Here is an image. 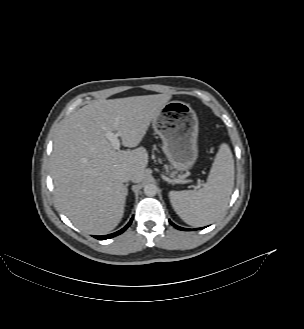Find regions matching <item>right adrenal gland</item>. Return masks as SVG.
I'll list each match as a JSON object with an SVG mask.
<instances>
[{
  "label": "right adrenal gland",
  "instance_id": "obj_1",
  "mask_svg": "<svg viewBox=\"0 0 304 329\" xmlns=\"http://www.w3.org/2000/svg\"><path fill=\"white\" fill-rule=\"evenodd\" d=\"M128 184L125 185V189H126V195L128 194Z\"/></svg>",
  "mask_w": 304,
  "mask_h": 329
}]
</instances>
